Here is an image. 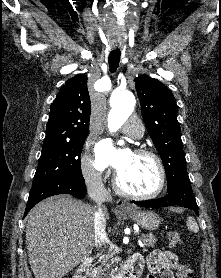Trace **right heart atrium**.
<instances>
[{
  "label": "right heart atrium",
  "instance_id": "obj_1",
  "mask_svg": "<svg viewBox=\"0 0 221 278\" xmlns=\"http://www.w3.org/2000/svg\"><path fill=\"white\" fill-rule=\"evenodd\" d=\"M80 171L83 179L90 184H97L102 180L103 172L96 166L93 158L85 152L81 158Z\"/></svg>",
  "mask_w": 221,
  "mask_h": 278
}]
</instances>
